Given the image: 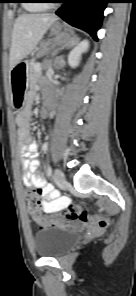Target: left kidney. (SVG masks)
<instances>
[{
    "label": "left kidney",
    "instance_id": "obj_1",
    "mask_svg": "<svg viewBox=\"0 0 136 296\" xmlns=\"http://www.w3.org/2000/svg\"><path fill=\"white\" fill-rule=\"evenodd\" d=\"M89 47V41L83 40L76 44L68 56V63L72 68H75L81 58V54L86 52Z\"/></svg>",
    "mask_w": 136,
    "mask_h": 296
}]
</instances>
